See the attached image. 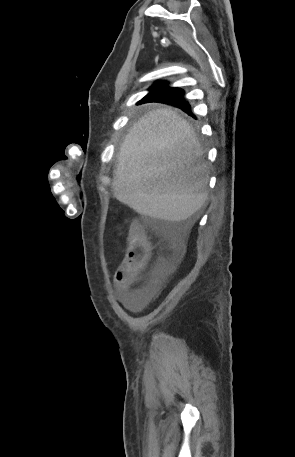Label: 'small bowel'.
I'll list each match as a JSON object with an SVG mask.
<instances>
[{"mask_svg":"<svg viewBox=\"0 0 295 457\" xmlns=\"http://www.w3.org/2000/svg\"><path fill=\"white\" fill-rule=\"evenodd\" d=\"M116 285L120 291L121 300L123 304L132 311H138L146 307L151 298L152 294L148 289L133 290L131 289V282L125 275H115Z\"/></svg>","mask_w":295,"mask_h":457,"instance_id":"small-bowel-1","label":"small bowel"}]
</instances>
